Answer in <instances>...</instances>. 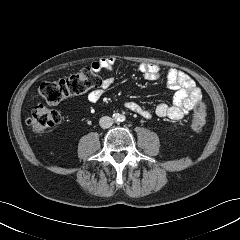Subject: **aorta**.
Segmentation results:
<instances>
[{"instance_id": "762f6f07", "label": "aorta", "mask_w": 240, "mask_h": 240, "mask_svg": "<svg viewBox=\"0 0 240 240\" xmlns=\"http://www.w3.org/2000/svg\"><path fill=\"white\" fill-rule=\"evenodd\" d=\"M116 119L120 121L122 119V116L121 115H117Z\"/></svg>"}]
</instances>
